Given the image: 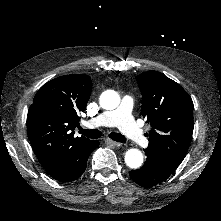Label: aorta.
I'll use <instances>...</instances> for the list:
<instances>
[{
  "mask_svg": "<svg viewBox=\"0 0 221 221\" xmlns=\"http://www.w3.org/2000/svg\"><path fill=\"white\" fill-rule=\"evenodd\" d=\"M120 104V97L115 91L105 92L100 97V105L103 109L113 110ZM125 163L131 169H137L143 164V154L136 148L126 151Z\"/></svg>",
  "mask_w": 221,
  "mask_h": 221,
  "instance_id": "aorta-1",
  "label": "aorta"
}]
</instances>
